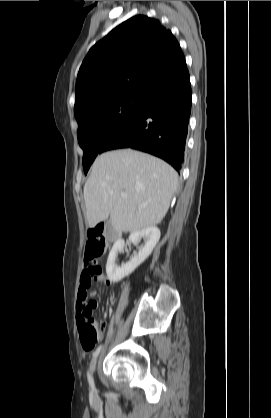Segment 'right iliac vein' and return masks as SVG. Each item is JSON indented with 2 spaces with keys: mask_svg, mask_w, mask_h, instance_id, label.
Instances as JSON below:
<instances>
[{
  "mask_svg": "<svg viewBox=\"0 0 271 418\" xmlns=\"http://www.w3.org/2000/svg\"><path fill=\"white\" fill-rule=\"evenodd\" d=\"M96 366H97V359L94 360V362H93V364L91 366V375H93V373L95 372Z\"/></svg>",
  "mask_w": 271,
  "mask_h": 418,
  "instance_id": "63e3f726",
  "label": "right iliac vein"
}]
</instances>
